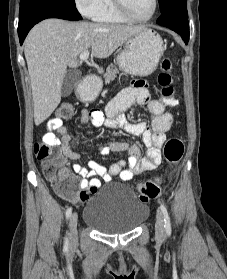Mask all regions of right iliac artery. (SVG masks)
<instances>
[{
	"label": "right iliac artery",
	"instance_id": "obj_1",
	"mask_svg": "<svg viewBox=\"0 0 227 279\" xmlns=\"http://www.w3.org/2000/svg\"><path fill=\"white\" fill-rule=\"evenodd\" d=\"M72 214V208H68L66 211V217L69 218ZM64 248L67 249L68 248V239L66 238L65 240V244H64Z\"/></svg>",
	"mask_w": 227,
	"mask_h": 279
}]
</instances>
